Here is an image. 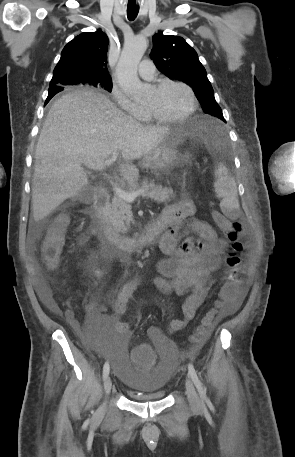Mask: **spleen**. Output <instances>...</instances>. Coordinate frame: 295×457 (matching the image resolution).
<instances>
[{"instance_id": "3e777b00", "label": "spleen", "mask_w": 295, "mask_h": 457, "mask_svg": "<svg viewBox=\"0 0 295 457\" xmlns=\"http://www.w3.org/2000/svg\"><path fill=\"white\" fill-rule=\"evenodd\" d=\"M216 181L214 184L217 196L222 198L220 207L222 212L229 218L239 211L237 185L234 179L228 175V169L219 164L215 172Z\"/></svg>"}]
</instances>
